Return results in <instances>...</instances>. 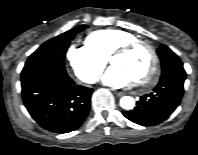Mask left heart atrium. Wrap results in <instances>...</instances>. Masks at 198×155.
Instances as JSON below:
<instances>
[{"mask_svg": "<svg viewBox=\"0 0 198 155\" xmlns=\"http://www.w3.org/2000/svg\"><path fill=\"white\" fill-rule=\"evenodd\" d=\"M102 81L107 86L122 88L132 84L134 79L125 69L118 65H113L105 72Z\"/></svg>", "mask_w": 198, "mask_h": 155, "instance_id": "left-heart-atrium-1", "label": "left heart atrium"}]
</instances>
